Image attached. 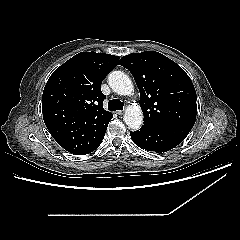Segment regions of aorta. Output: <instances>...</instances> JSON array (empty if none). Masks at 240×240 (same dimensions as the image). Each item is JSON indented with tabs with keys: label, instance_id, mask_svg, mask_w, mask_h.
<instances>
[{
	"label": "aorta",
	"instance_id": "aorta-1",
	"mask_svg": "<svg viewBox=\"0 0 240 240\" xmlns=\"http://www.w3.org/2000/svg\"><path fill=\"white\" fill-rule=\"evenodd\" d=\"M108 84L115 93L122 96H127L133 91L131 79L122 71H112L108 76ZM123 120L129 129L138 130L143 124L141 108L139 106H128Z\"/></svg>",
	"mask_w": 240,
	"mask_h": 240
}]
</instances>
